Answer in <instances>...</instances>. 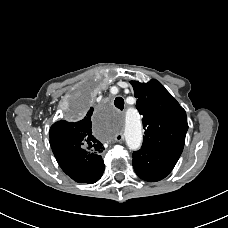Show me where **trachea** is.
<instances>
[{"label": "trachea", "instance_id": "trachea-1", "mask_svg": "<svg viewBox=\"0 0 228 228\" xmlns=\"http://www.w3.org/2000/svg\"><path fill=\"white\" fill-rule=\"evenodd\" d=\"M114 105H115V107H117L118 109L123 110V108H124V99H123L122 97H117V98L114 100Z\"/></svg>", "mask_w": 228, "mask_h": 228}]
</instances>
